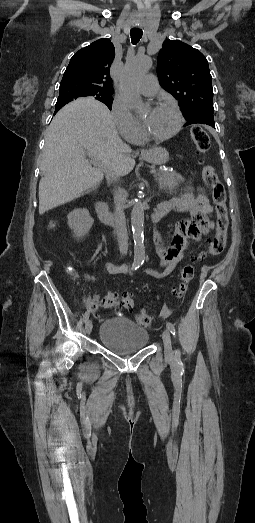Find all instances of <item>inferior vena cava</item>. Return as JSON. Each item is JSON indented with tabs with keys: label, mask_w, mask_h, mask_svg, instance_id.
I'll list each match as a JSON object with an SVG mask.
<instances>
[{
	"label": "inferior vena cava",
	"mask_w": 255,
	"mask_h": 523,
	"mask_svg": "<svg viewBox=\"0 0 255 523\" xmlns=\"http://www.w3.org/2000/svg\"><path fill=\"white\" fill-rule=\"evenodd\" d=\"M117 178L122 176L121 172L115 174ZM123 196L122 188H118L114 194L115 200V212H114V224H115V234L117 236V242L120 252L127 254L128 252V234L125 222L124 208L121 206V198Z\"/></svg>",
	"instance_id": "obj_1"
}]
</instances>
